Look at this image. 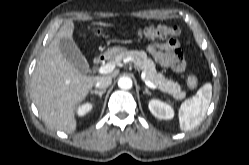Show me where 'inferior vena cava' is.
<instances>
[{
	"mask_svg": "<svg viewBox=\"0 0 249 165\" xmlns=\"http://www.w3.org/2000/svg\"><path fill=\"white\" fill-rule=\"evenodd\" d=\"M112 83V78L109 76L98 77L95 87L98 89H106Z\"/></svg>",
	"mask_w": 249,
	"mask_h": 165,
	"instance_id": "1",
	"label": "inferior vena cava"
}]
</instances>
